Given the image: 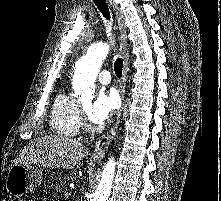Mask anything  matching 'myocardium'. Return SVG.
Returning <instances> with one entry per match:
<instances>
[{"label": "myocardium", "mask_w": 221, "mask_h": 201, "mask_svg": "<svg viewBox=\"0 0 221 201\" xmlns=\"http://www.w3.org/2000/svg\"><path fill=\"white\" fill-rule=\"evenodd\" d=\"M81 127L87 132H97L102 126L91 121L85 108L81 109Z\"/></svg>", "instance_id": "obj_1"}]
</instances>
